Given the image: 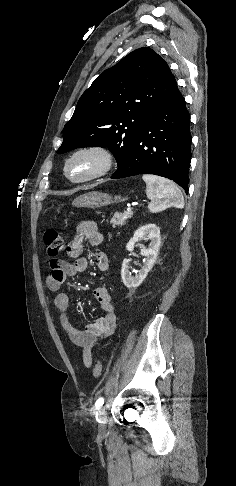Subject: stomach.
<instances>
[{
  "label": "stomach",
  "mask_w": 236,
  "mask_h": 486,
  "mask_svg": "<svg viewBox=\"0 0 236 486\" xmlns=\"http://www.w3.org/2000/svg\"><path fill=\"white\" fill-rule=\"evenodd\" d=\"M124 199L121 196H110L107 193L92 191L80 195L77 197L73 202L72 205L76 207H85L96 209L103 206H107L113 203H118L123 201ZM59 210V208H58Z\"/></svg>",
  "instance_id": "stomach-1"
}]
</instances>
